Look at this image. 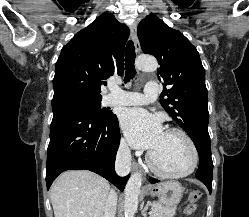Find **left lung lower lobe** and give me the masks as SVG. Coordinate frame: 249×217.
Here are the masks:
<instances>
[{
	"label": "left lung lower lobe",
	"mask_w": 249,
	"mask_h": 217,
	"mask_svg": "<svg viewBox=\"0 0 249 217\" xmlns=\"http://www.w3.org/2000/svg\"><path fill=\"white\" fill-rule=\"evenodd\" d=\"M199 153L200 165L196 172V178L202 181L208 188L209 192L212 191V172L213 162L211 158L210 142L206 138H201L196 146ZM151 183H157L159 180L150 178Z\"/></svg>",
	"instance_id": "left-lung-lower-lobe-1"
}]
</instances>
